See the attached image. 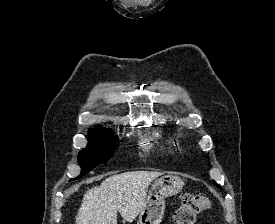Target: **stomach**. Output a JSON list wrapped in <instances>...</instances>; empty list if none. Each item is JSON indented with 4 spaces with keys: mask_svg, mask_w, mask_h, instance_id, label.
Listing matches in <instances>:
<instances>
[{
    "mask_svg": "<svg viewBox=\"0 0 275 224\" xmlns=\"http://www.w3.org/2000/svg\"><path fill=\"white\" fill-rule=\"evenodd\" d=\"M183 185V180L175 175H165L156 180L151 186L137 224H160L165 211V198L177 195Z\"/></svg>",
    "mask_w": 275,
    "mask_h": 224,
    "instance_id": "1",
    "label": "stomach"
}]
</instances>
